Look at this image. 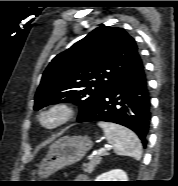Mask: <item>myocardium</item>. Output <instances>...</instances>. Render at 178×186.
Masks as SVG:
<instances>
[{
  "instance_id": "myocardium-1",
  "label": "myocardium",
  "mask_w": 178,
  "mask_h": 186,
  "mask_svg": "<svg viewBox=\"0 0 178 186\" xmlns=\"http://www.w3.org/2000/svg\"><path fill=\"white\" fill-rule=\"evenodd\" d=\"M56 115L57 119L51 124H47L44 118L48 115ZM76 115L75 108L66 102H57L42 108L36 116L38 124L47 131H55L69 122H71Z\"/></svg>"
}]
</instances>
